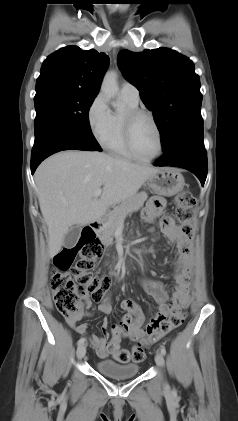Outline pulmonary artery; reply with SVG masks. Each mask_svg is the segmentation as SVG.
I'll return each instance as SVG.
<instances>
[{
	"label": "pulmonary artery",
	"mask_w": 238,
	"mask_h": 421,
	"mask_svg": "<svg viewBox=\"0 0 238 421\" xmlns=\"http://www.w3.org/2000/svg\"><path fill=\"white\" fill-rule=\"evenodd\" d=\"M120 95L122 98L127 99L132 103L139 102V91L138 89L129 82H124L120 87Z\"/></svg>",
	"instance_id": "obj_1"
}]
</instances>
